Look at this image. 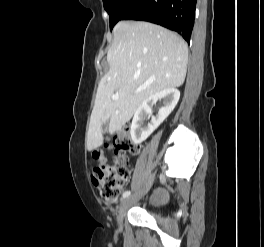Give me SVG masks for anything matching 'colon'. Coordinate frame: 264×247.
Listing matches in <instances>:
<instances>
[{
  "label": "colon",
  "instance_id": "5ec220e1",
  "mask_svg": "<svg viewBox=\"0 0 264 247\" xmlns=\"http://www.w3.org/2000/svg\"><path fill=\"white\" fill-rule=\"evenodd\" d=\"M107 146L113 149L112 159L108 160L101 151L96 152L97 163L92 168L91 178L101 197L114 204L119 200L122 188L130 177L127 156L136 154L138 147L126 128L118 131Z\"/></svg>",
  "mask_w": 264,
  "mask_h": 247
}]
</instances>
